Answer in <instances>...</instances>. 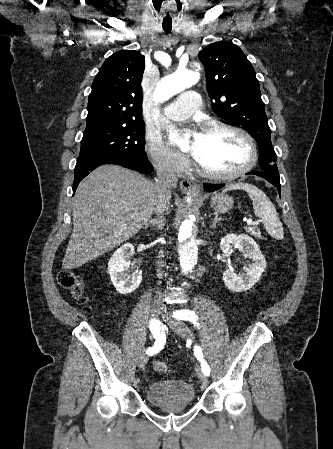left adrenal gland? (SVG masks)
I'll use <instances>...</instances> for the list:
<instances>
[{"instance_id": "a2214340", "label": "left adrenal gland", "mask_w": 333, "mask_h": 449, "mask_svg": "<svg viewBox=\"0 0 333 449\" xmlns=\"http://www.w3.org/2000/svg\"><path fill=\"white\" fill-rule=\"evenodd\" d=\"M220 220H221V218H219V216H218V214L217 213H215V217H214V220H213V222H212V228H214L215 226H216V224L218 223V222H220Z\"/></svg>"}]
</instances>
